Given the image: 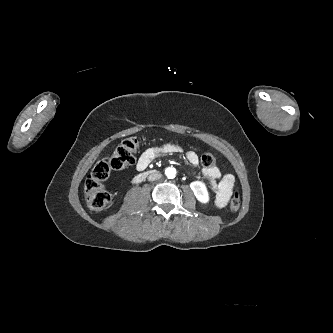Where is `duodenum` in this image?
<instances>
[{
	"instance_id": "duodenum-1",
	"label": "duodenum",
	"mask_w": 333,
	"mask_h": 333,
	"mask_svg": "<svg viewBox=\"0 0 333 333\" xmlns=\"http://www.w3.org/2000/svg\"><path fill=\"white\" fill-rule=\"evenodd\" d=\"M157 172L156 171H152V172H143V173H140L138 175H136L133 179V181L135 183H139V182H142L143 180H145L148 176L150 175H156Z\"/></svg>"
}]
</instances>
